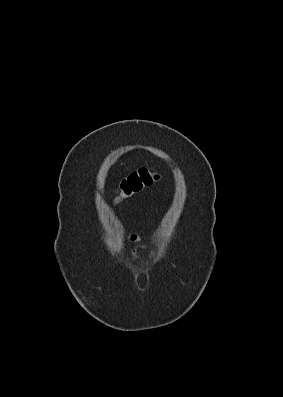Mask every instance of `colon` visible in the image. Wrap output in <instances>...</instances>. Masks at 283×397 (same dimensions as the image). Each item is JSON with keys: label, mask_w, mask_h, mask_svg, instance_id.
Wrapping results in <instances>:
<instances>
[{"label": "colon", "mask_w": 283, "mask_h": 397, "mask_svg": "<svg viewBox=\"0 0 283 397\" xmlns=\"http://www.w3.org/2000/svg\"><path fill=\"white\" fill-rule=\"evenodd\" d=\"M159 178L160 175L154 168L144 167L133 171L120 182L116 190L114 202L119 203L130 198L157 182Z\"/></svg>", "instance_id": "5ec220e1"}]
</instances>
